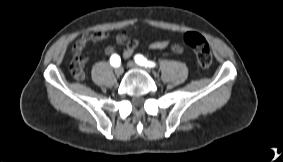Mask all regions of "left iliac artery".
<instances>
[{
  "label": "left iliac artery",
  "instance_id": "left-iliac-artery-1",
  "mask_svg": "<svg viewBox=\"0 0 283 162\" xmlns=\"http://www.w3.org/2000/svg\"><path fill=\"white\" fill-rule=\"evenodd\" d=\"M135 59V62L139 65H143V66H148V67H154L155 66V63L152 62V61H148L144 56L142 55H136L134 57Z\"/></svg>",
  "mask_w": 283,
  "mask_h": 162
}]
</instances>
